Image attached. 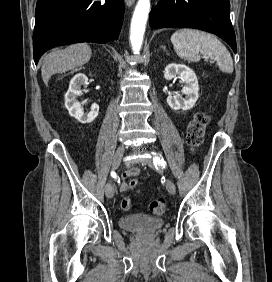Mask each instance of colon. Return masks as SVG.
<instances>
[{
	"instance_id": "obj_1",
	"label": "colon",
	"mask_w": 272,
	"mask_h": 282,
	"mask_svg": "<svg viewBox=\"0 0 272 282\" xmlns=\"http://www.w3.org/2000/svg\"><path fill=\"white\" fill-rule=\"evenodd\" d=\"M209 124V117L207 114L200 112L197 113L193 120L189 123L186 134V142L192 150H196L203 142L206 128ZM129 185L136 188L138 181L130 179ZM120 206L123 210L128 211L132 208L133 202L129 197H122ZM166 210V202L163 199H157L150 203V212L155 216L162 215Z\"/></svg>"
}]
</instances>
